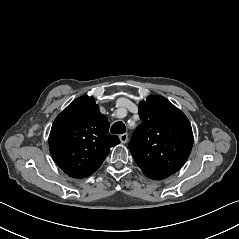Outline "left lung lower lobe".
I'll return each instance as SVG.
<instances>
[{"instance_id":"left-lung-lower-lobe-1","label":"left lung lower lobe","mask_w":239,"mask_h":239,"mask_svg":"<svg viewBox=\"0 0 239 239\" xmlns=\"http://www.w3.org/2000/svg\"><path fill=\"white\" fill-rule=\"evenodd\" d=\"M147 177L151 178V179H154V180H161V179H164L168 176H165V175H158V174H151V173H148V174H145Z\"/></svg>"}]
</instances>
